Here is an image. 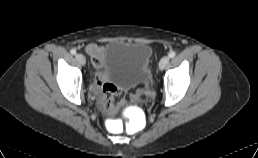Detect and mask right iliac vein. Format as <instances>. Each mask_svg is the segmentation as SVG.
I'll return each mask as SVG.
<instances>
[{"mask_svg": "<svg viewBox=\"0 0 258 158\" xmlns=\"http://www.w3.org/2000/svg\"><path fill=\"white\" fill-rule=\"evenodd\" d=\"M76 60L81 64V65H85L86 63V59H85V56L81 53H77L76 54Z\"/></svg>", "mask_w": 258, "mask_h": 158, "instance_id": "63e3f726", "label": "right iliac vein"}]
</instances>
